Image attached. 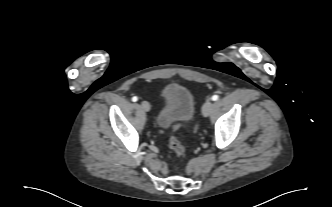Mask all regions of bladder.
Instances as JSON below:
<instances>
[{"instance_id": "1", "label": "bladder", "mask_w": 332, "mask_h": 207, "mask_svg": "<svg viewBox=\"0 0 332 207\" xmlns=\"http://www.w3.org/2000/svg\"><path fill=\"white\" fill-rule=\"evenodd\" d=\"M162 105L156 116V125L165 129L170 125H186L195 115L196 99L190 88L178 83L164 86L160 92Z\"/></svg>"}]
</instances>
